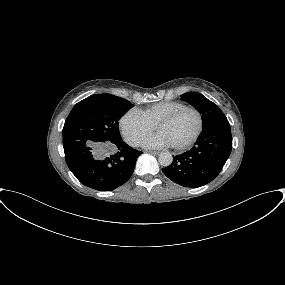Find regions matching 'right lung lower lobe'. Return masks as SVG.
Returning <instances> with one entry per match:
<instances>
[{"label": "right lung lower lobe", "mask_w": 285, "mask_h": 285, "mask_svg": "<svg viewBox=\"0 0 285 285\" xmlns=\"http://www.w3.org/2000/svg\"><path fill=\"white\" fill-rule=\"evenodd\" d=\"M115 153L107 151L105 143L70 141L64 144L67 166L85 186L99 191H112L132 175L142 153L122 139L109 144Z\"/></svg>", "instance_id": "98d812e1"}]
</instances>
